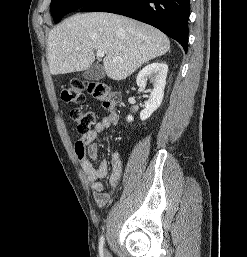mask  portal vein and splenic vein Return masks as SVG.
<instances>
[{"label": "portal vein and splenic vein", "instance_id": "18ae733b", "mask_svg": "<svg viewBox=\"0 0 247 257\" xmlns=\"http://www.w3.org/2000/svg\"><path fill=\"white\" fill-rule=\"evenodd\" d=\"M96 54H97V56H99V57H103V56L105 55L104 51H102V50H97ZM114 61H121V59H119V58H114Z\"/></svg>", "mask_w": 247, "mask_h": 257}]
</instances>
